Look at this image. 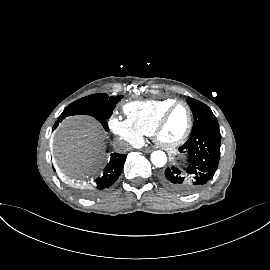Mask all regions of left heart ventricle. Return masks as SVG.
Instances as JSON below:
<instances>
[{
    "label": "left heart ventricle",
    "mask_w": 270,
    "mask_h": 270,
    "mask_svg": "<svg viewBox=\"0 0 270 270\" xmlns=\"http://www.w3.org/2000/svg\"><path fill=\"white\" fill-rule=\"evenodd\" d=\"M188 124V111L185 106H177L169 115L161 132L165 141H173L182 136Z\"/></svg>",
    "instance_id": "1"
}]
</instances>
